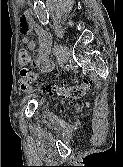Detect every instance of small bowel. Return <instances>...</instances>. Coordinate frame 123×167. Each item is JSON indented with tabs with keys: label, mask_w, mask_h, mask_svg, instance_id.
<instances>
[{
	"label": "small bowel",
	"mask_w": 123,
	"mask_h": 167,
	"mask_svg": "<svg viewBox=\"0 0 123 167\" xmlns=\"http://www.w3.org/2000/svg\"><path fill=\"white\" fill-rule=\"evenodd\" d=\"M31 29H34L38 36V46L29 37ZM20 34L22 43L27 46L30 51L36 50V57L31 61L33 67L40 68L43 71H50L52 64L49 60V50L51 45V38L48 33L39 25H37L30 15H23L20 18ZM21 89L29 90V84L24 80L20 81Z\"/></svg>",
	"instance_id": "c3829d8e"
}]
</instances>
